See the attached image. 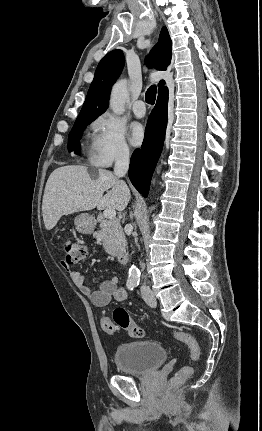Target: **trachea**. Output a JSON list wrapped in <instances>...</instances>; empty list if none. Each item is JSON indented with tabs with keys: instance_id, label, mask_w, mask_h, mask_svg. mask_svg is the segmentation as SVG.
Masks as SVG:
<instances>
[{
	"instance_id": "trachea-1",
	"label": "trachea",
	"mask_w": 262,
	"mask_h": 431,
	"mask_svg": "<svg viewBox=\"0 0 262 431\" xmlns=\"http://www.w3.org/2000/svg\"><path fill=\"white\" fill-rule=\"evenodd\" d=\"M155 99H156V86L152 85L146 91L145 100L148 104L153 105L155 103Z\"/></svg>"
}]
</instances>
